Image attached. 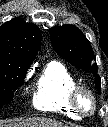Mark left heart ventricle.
Instances as JSON below:
<instances>
[{
    "instance_id": "obj_1",
    "label": "left heart ventricle",
    "mask_w": 108,
    "mask_h": 127,
    "mask_svg": "<svg viewBox=\"0 0 108 127\" xmlns=\"http://www.w3.org/2000/svg\"><path fill=\"white\" fill-rule=\"evenodd\" d=\"M83 102H84L85 105H88V101L86 99H84Z\"/></svg>"
}]
</instances>
